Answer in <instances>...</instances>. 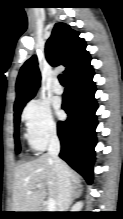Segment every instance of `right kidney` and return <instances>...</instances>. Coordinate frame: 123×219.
Masks as SVG:
<instances>
[{"mask_svg":"<svg viewBox=\"0 0 123 219\" xmlns=\"http://www.w3.org/2000/svg\"><path fill=\"white\" fill-rule=\"evenodd\" d=\"M82 207V203L81 202H77L73 207H72V212H78Z\"/></svg>","mask_w":123,"mask_h":219,"instance_id":"1","label":"right kidney"}]
</instances>
